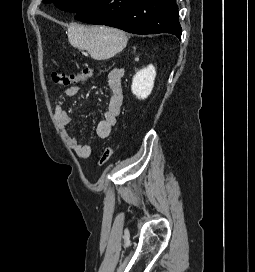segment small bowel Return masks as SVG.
<instances>
[{
  "label": "small bowel",
  "mask_w": 255,
  "mask_h": 272,
  "mask_svg": "<svg viewBox=\"0 0 255 272\" xmlns=\"http://www.w3.org/2000/svg\"><path fill=\"white\" fill-rule=\"evenodd\" d=\"M123 76L124 69L121 67H114L106 74V80L110 91V99L105 109L103 118L96 126V134L100 138L104 139L109 137L112 129L116 125L124 99L122 88ZM79 90L80 86L77 84H72L70 87L64 90L63 94L57 101L54 110V117L57 125L62 129L68 145L74 151L76 156L80 159H87L91 154L90 146L80 143L67 131V126L70 124L71 119L69 113L65 109V103L69 98L76 96Z\"/></svg>",
  "instance_id": "1"
}]
</instances>
